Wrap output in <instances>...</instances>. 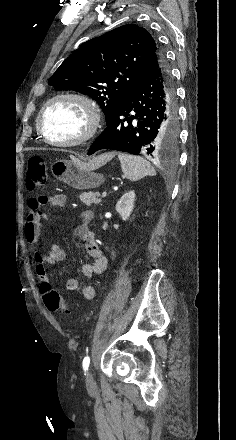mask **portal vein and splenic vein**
Listing matches in <instances>:
<instances>
[{
	"instance_id": "portal-vein-and-splenic-vein-1",
	"label": "portal vein and splenic vein",
	"mask_w": 236,
	"mask_h": 440,
	"mask_svg": "<svg viewBox=\"0 0 236 440\" xmlns=\"http://www.w3.org/2000/svg\"><path fill=\"white\" fill-rule=\"evenodd\" d=\"M106 196H107V192L104 191V192L102 193V198H104V197H106Z\"/></svg>"
}]
</instances>
